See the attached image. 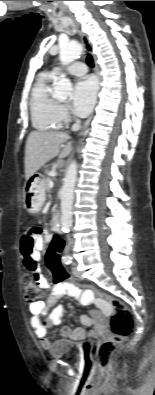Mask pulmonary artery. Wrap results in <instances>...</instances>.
<instances>
[{
    "label": "pulmonary artery",
    "instance_id": "obj_1",
    "mask_svg": "<svg viewBox=\"0 0 155 395\" xmlns=\"http://www.w3.org/2000/svg\"><path fill=\"white\" fill-rule=\"evenodd\" d=\"M66 72L74 76H83L87 72V67L82 62H75L66 69ZM51 74L58 77L62 74V70L60 68H54Z\"/></svg>",
    "mask_w": 155,
    "mask_h": 395
}]
</instances>
